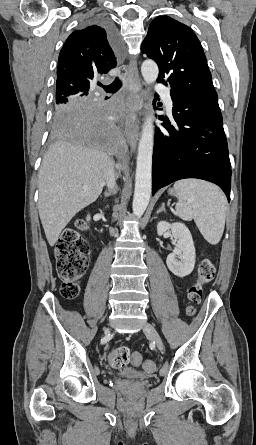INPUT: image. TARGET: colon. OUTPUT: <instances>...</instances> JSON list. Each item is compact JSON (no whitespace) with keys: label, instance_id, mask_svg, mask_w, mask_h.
<instances>
[{"label":"colon","instance_id":"5ec220e1","mask_svg":"<svg viewBox=\"0 0 256 445\" xmlns=\"http://www.w3.org/2000/svg\"><path fill=\"white\" fill-rule=\"evenodd\" d=\"M85 230V222L78 219L74 225L65 229L55 248L56 267L61 280V294L66 299H75L79 294L77 281L82 277L87 268L86 254L89 251V245L82 237ZM216 275V269L211 260L204 259L198 267V278L188 290V299L191 304H197L201 301L203 287L212 282ZM188 316L194 314L193 306L188 307L186 311ZM132 362L139 365L142 362V355L138 352L131 353L126 346H120L112 350L108 355V363L116 369L124 368ZM147 372H153L156 368L153 360H147L144 363Z\"/></svg>","mask_w":256,"mask_h":445}]
</instances>
